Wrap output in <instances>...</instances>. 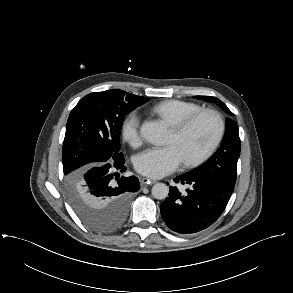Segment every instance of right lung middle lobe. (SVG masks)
Listing matches in <instances>:
<instances>
[{
    "label": "right lung middle lobe",
    "instance_id": "dd1d6c3e",
    "mask_svg": "<svg viewBox=\"0 0 293 293\" xmlns=\"http://www.w3.org/2000/svg\"><path fill=\"white\" fill-rule=\"evenodd\" d=\"M147 101L113 89L86 95L70 113L62 150L66 189L75 212L95 230L112 231L123 223L124 217L117 213H98L90 208L83 174L93 164L123 157L119 150L125 115Z\"/></svg>",
    "mask_w": 293,
    "mask_h": 293
}]
</instances>
